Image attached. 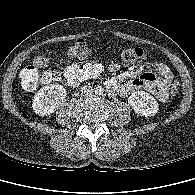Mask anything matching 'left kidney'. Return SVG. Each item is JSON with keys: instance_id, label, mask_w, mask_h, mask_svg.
<instances>
[{"instance_id": "5707ae66", "label": "left kidney", "mask_w": 195, "mask_h": 195, "mask_svg": "<svg viewBox=\"0 0 195 195\" xmlns=\"http://www.w3.org/2000/svg\"><path fill=\"white\" fill-rule=\"evenodd\" d=\"M128 103L136 114L151 117L154 116L159 109L157 100L145 91H136L128 98Z\"/></svg>"}]
</instances>
